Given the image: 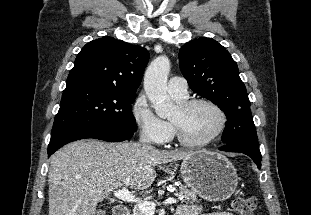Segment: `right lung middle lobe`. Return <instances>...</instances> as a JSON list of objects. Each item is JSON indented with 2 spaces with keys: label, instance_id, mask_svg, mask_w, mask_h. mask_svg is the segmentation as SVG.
<instances>
[{
  "label": "right lung middle lobe",
  "instance_id": "1",
  "mask_svg": "<svg viewBox=\"0 0 311 215\" xmlns=\"http://www.w3.org/2000/svg\"><path fill=\"white\" fill-rule=\"evenodd\" d=\"M135 92L88 84L66 87L52 134L74 129L137 130Z\"/></svg>",
  "mask_w": 311,
  "mask_h": 215
}]
</instances>
